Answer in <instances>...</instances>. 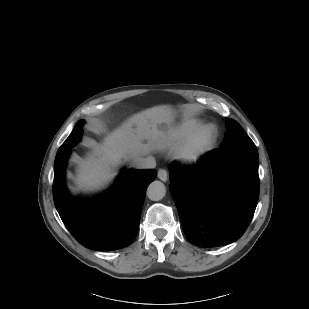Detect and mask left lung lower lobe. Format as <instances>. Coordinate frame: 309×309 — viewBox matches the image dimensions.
Here are the masks:
<instances>
[{
  "instance_id": "0a47b994",
  "label": "left lung lower lobe",
  "mask_w": 309,
  "mask_h": 309,
  "mask_svg": "<svg viewBox=\"0 0 309 309\" xmlns=\"http://www.w3.org/2000/svg\"><path fill=\"white\" fill-rule=\"evenodd\" d=\"M258 152L253 142L215 149L194 166H169L170 189L187 238L201 247L239 239L259 197ZM235 164L234 180L227 176Z\"/></svg>"
}]
</instances>
